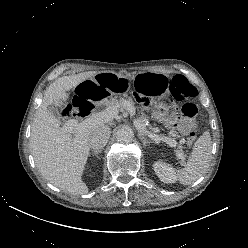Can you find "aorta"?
<instances>
[{"mask_svg": "<svg viewBox=\"0 0 248 248\" xmlns=\"http://www.w3.org/2000/svg\"><path fill=\"white\" fill-rule=\"evenodd\" d=\"M134 133L130 127L124 126L117 130L116 139L118 142L127 144L133 140Z\"/></svg>", "mask_w": 248, "mask_h": 248, "instance_id": "1", "label": "aorta"}]
</instances>
